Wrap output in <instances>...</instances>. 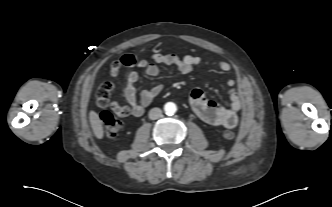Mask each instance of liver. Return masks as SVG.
<instances>
[{
    "label": "liver",
    "instance_id": "obj_1",
    "mask_svg": "<svg viewBox=\"0 0 332 207\" xmlns=\"http://www.w3.org/2000/svg\"><path fill=\"white\" fill-rule=\"evenodd\" d=\"M89 121H90L91 128H92L93 133L96 136V138L102 139L104 136L102 122H101L99 115L93 110H91L89 112Z\"/></svg>",
    "mask_w": 332,
    "mask_h": 207
}]
</instances>
